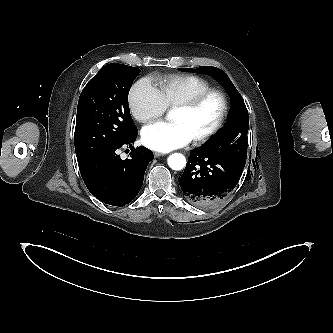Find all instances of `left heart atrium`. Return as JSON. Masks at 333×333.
Returning a JSON list of instances; mask_svg holds the SVG:
<instances>
[{
    "label": "left heart atrium",
    "instance_id": "left-heart-atrium-1",
    "mask_svg": "<svg viewBox=\"0 0 333 333\" xmlns=\"http://www.w3.org/2000/svg\"><path fill=\"white\" fill-rule=\"evenodd\" d=\"M141 140L152 150L169 152L186 146L192 141V137L181 123L156 122L142 129Z\"/></svg>",
    "mask_w": 333,
    "mask_h": 333
}]
</instances>
